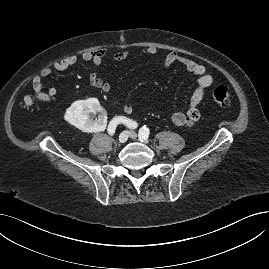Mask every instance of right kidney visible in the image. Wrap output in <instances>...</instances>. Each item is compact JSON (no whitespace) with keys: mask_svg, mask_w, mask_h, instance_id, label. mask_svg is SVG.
<instances>
[{"mask_svg":"<svg viewBox=\"0 0 269 269\" xmlns=\"http://www.w3.org/2000/svg\"><path fill=\"white\" fill-rule=\"evenodd\" d=\"M106 107L97 99H88L75 102L68 111L62 112V117L86 132L105 131L108 128L107 117L104 114ZM99 112L94 119L92 115Z\"/></svg>","mask_w":269,"mask_h":269,"instance_id":"ca27d5eb","label":"right kidney"}]
</instances>
